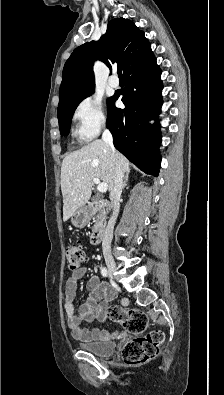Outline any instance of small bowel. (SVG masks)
<instances>
[{
  "label": "small bowel",
  "instance_id": "small-bowel-1",
  "mask_svg": "<svg viewBox=\"0 0 224 395\" xmlns=\"http://www.w3.org/2000/svg\"><path fill=\"white\" fill-rule=\"evenodd\" d=\"M86 272V267L81 266L67 280L63 307L71 335L76 340L89 342L105 339L108 335L99 329H87L82 326V323L104 320L107 305L115 298L116 292L112 287L102 282L99 277H90L86 283L88 296L76 313L74 303L77 296L78 281L86 275Z\"/></svg>",
  "mask_w": 224,
  "mask_h": 395
}]
</instances>
